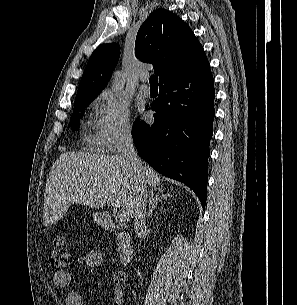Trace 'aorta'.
<instances>
[{"mask_svg": "<svg viewBox=\"0 0 297 305\" xmlns=\"http://www.w3.org/2000/svg\"><path fill=\"white\" fill-rule=\"evenodd\" d=\"M124 86V77L121 71H116L112 77V88L119 91Z\"/></svg>", "mask_w": 297, "mask_h": 305, "instance_id": "aorta-1", "label": "aorta"}]
</instances>
